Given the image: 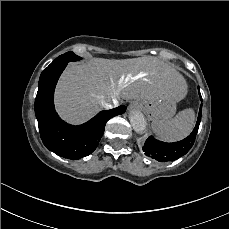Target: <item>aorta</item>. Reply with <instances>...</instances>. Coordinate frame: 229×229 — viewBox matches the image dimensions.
<instances>
[{"label":"aorta","instance_id":"1","mask_svg":"<svg viewBox=\"0 0 229 229\" xmlns=\"http://www.w3.org/2000/svg\"><path fill=\"white\" fill-rule=\"evenodd\" d=\"M129 120L133 130L136 133H143L146 131L147 122L144 115L139 111H131L129 114Z\"/></svg>","mask_w":229,"mask_h":229}]
</instances>
